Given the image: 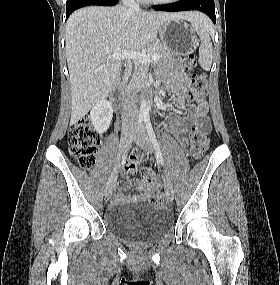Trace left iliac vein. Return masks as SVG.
<instances>
[{
    "mask_svg": "<svg viewBox=\"0 0 280 285\" xmlns=\"http://www.w3.org/2000/svg\"><path fill=\"white\" fill-rule=\"evenodd\" d=\"M135 142L140 145L143 149H145L147 152L152 153L153 148L150 142V139L146 133V129L143 125L140 126L137 136L135 137ZM164 188L165 192L168 195V197L173 200L174 199V189L173 184L170 180V178L165 175L164 177Z\"/></svg>",
    "mask_w": 280,
    "mask_h": 285,
    "instance_id": "4c4485c4",
    "label": "left iliac vein"
}]
</instances>
